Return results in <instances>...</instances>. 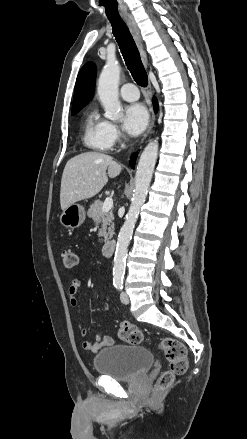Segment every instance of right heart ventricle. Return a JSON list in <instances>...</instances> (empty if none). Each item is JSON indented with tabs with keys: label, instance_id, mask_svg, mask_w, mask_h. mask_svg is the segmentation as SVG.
<instances>
[{
	"label": "right heart ventricle",
	"instance_id": "e07e8e85",
	"mask_svg": "<svg viewBox=\"0 0 247 439\" xmlns=\"http://www.w3.org/2000/svg\"><path fill=\"white\" fill-rule=\"evenodd\" d=\"M108 122L102 119L99 113L90 110L83 121L82 142L85 147L94 151H107L112 147L107 133Z\"/></svg>",
	"mask_w": 247,
	"mask_h": 439
}]
</instances>
